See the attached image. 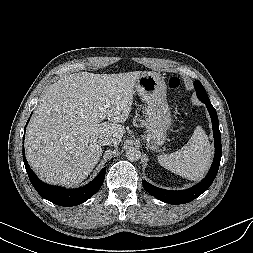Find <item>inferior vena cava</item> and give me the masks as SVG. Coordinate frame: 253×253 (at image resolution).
<instances>
[{
	"mask_svg": "<svg viewBox=\"0 0 253 253\" xmlns=\"http://www.w3.org/2000/svg\"><path fill=\"white\" fill-rule=\"evenodd\" d=\"M101 144L102 145H112L113 144V139L112 138H104L102 141H101Z\"/></svg>",
	"mask_w": 253,
	"mask_h": 253,
	"instance_id": "1",
	"label": "inferior vena cava"
}]
</instances>
